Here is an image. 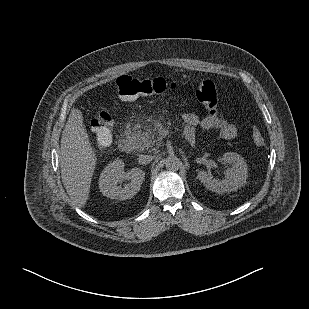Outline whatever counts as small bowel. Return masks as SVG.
Instances as JSON below:
<instances>
[{
	"label": "small bowel",
	"mask_w": 309,
	"mask_h": 309,
	"mask_svg": "<svg viewBox=\"0 0 309 309\" xmlns=\"http://www.w3.org/2000/svg\"><path fill=\"white\" fill-rule=\"evenodd\" d=\"M184 136L186 141L193 143L196 138V131L198 128L206 130L218 131L220 137L225 140L234 139L237 136V129L232 124L228 123L219 115H209L200 118L195 113H187L184 115Z\"/></svg>",
	"instance_id": "c3829d8e"
}]
</instances>
